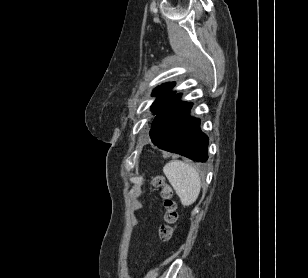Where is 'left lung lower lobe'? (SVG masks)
I'll use <instances>...</instances> for the list:
<instances>
[{
	"label": "left lung lower lobe",
	"instance_id": "0a47b994",
	"mask_svg": "<svg viewBox=\"0 0 308 278\" xmlns=\"http://www.w3.org/2000/svg\"><path fill=\"white\" fill-rule=\"evenodd\" d=\"M176 94L156 115L150 130L154 145L194 161L208 159V137L200 130V120L189 115L192 103L180 102Z\"/></svg>",
	"mask_w": 308,
	"mask_h": 278
}]
</instances>
